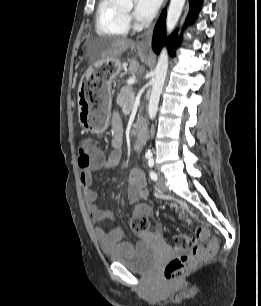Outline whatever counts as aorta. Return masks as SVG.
<instances>
[{
  "instance_id": "1",
  "label": "aorta",
  "mask_w": 261,
  "mask_h": 306,
  "mask_svg": "<svg viewBox=\"0 0 261 306\" xmlns=\"http://www.w3.org/2000/svg\"><path fill=\"white\" fill-rule=\"evenodd\" d=\"M116 2L121 6H132V0H116ZM184 4L185 0H171L166 18V28L168 34H170L177 25ZM167 70L168 54L166 48H163L156 65L155 77L153 80V86L148 105V115L151 120H153L157 114L159 99L164 86ZM148 154H150V151H148Z\"/></svg>"
}]
</instances>
